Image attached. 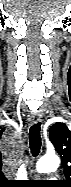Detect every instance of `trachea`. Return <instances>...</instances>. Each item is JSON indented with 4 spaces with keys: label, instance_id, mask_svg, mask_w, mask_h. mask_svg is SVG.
<instances>
[{
    "label": "trachea",
    "instance_id": "1",
    "mask_svg": "<svg viewBox=\"0 0 71 187\" xmlns=\"http://www.w3.org/2000/svg\"><path fill=\"white\" fill-rule=\"evenodd\" d=\"M29 143L31 153L36 157L40 153L41 137H40V122L31 126L29 131Z\"/></svg>",
    "mask_w": 71,
    "mask_h": 187
}]
</instances>
